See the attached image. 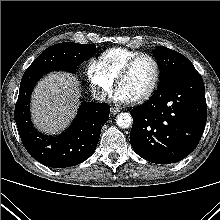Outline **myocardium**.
<instances>
[{
    "mask_svg": "<svg viewBox=\"0 0 220 220\" xmlns=\"http://www.w3.org/2000/svg\"><path fill=\"white\" fill-rule=\"evenodd\" d=\"M141 58H148L149 60L152 61L154 68H155V74H154L153 82L151 86L148 88V90L145 93H143L141 96H139L138 98L132 100V102L136 104H139V103H142L148 100L154 94V92L156 91L158 87L160 76H161V68H160V64L157 58L149 53L140 52L136 54L135 56H133L132 58H130L126 62V64L122 67L117 77L115 78V84H116V87L118 88L122 79L131 71L134 64Z\"/></svg>",
    "mask_w": 220,
    "mask_h": 220,
    "instance_id": "obj_1",
    "label": "myocardium"
}]
</instances>
